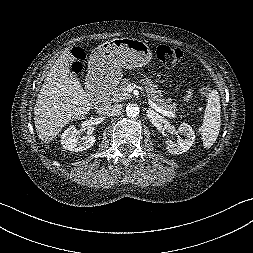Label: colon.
<instances>
[{
    "label": "colon",
    "mask_w": 253,
    "mask_h": 253,
    "mask_svg": "<svg viewBox=\"0 0 253 253\" xmlns=\"http://www.w3.org/2000/svg\"><path fill=\"white\" fill-rule=\"evenodd\" d=\"M155 57L166 66H176L183 57V51L179 48H173L167 45H156L152 48ZM73 59L71 61V69L74 73H81L83 70L82 61L85 58V50L82 47H75L72 50ZM211 93V86L207 82H202L199 86V94L206 98Z\"/></svg>",
    "instance_id": "obj_1"
}]
</instances>
